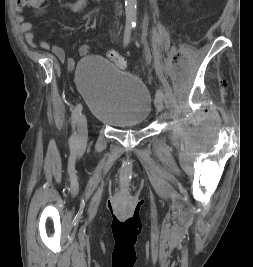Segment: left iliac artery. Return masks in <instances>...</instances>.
<instances>
[{"label":"left iliac artery","instance_id":"left-iliac-artery-1","mask_svg":"<svg viewBox=\"0 0 253 267\" xmlns=\"http://www.w3.org/2000/svg\"><path fill=\"white\" fill-rule=\"evenodd\" d=\"M159 95H162L164 97V94L161 90L156 91L155 97H158Z\"/></svg>","mask_w":253,"mask_h":267}]
</instances>
